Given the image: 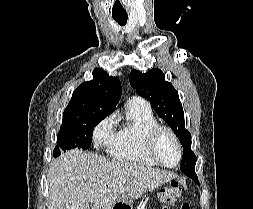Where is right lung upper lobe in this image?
I'll list each match as a JSON object with an SVG mask.
<instances>
[{"mask_svg": "<svg viewBox=\"0 0 253 209\" xmlns=\"http://www.w3.org/2000/svg\"><path fill=\"white\" fill-rule=\"evenodd\" d=\"M121 83L100 68L93 70V80L83 82L73 92L64 110L63 122L91 113L110 114L121 96Z\"/></svg>", "mask_w": 253, "mask_h": 209, "instance_id": "1", "label": "right lung upper lobe"}]
</instances>
